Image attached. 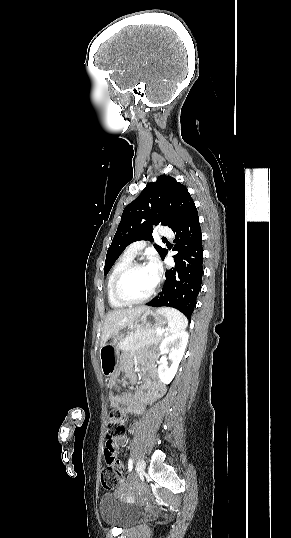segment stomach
I'll list each match as a JSON object with an SVG mask.
<instances>
[{
    "label": "stomach",
    "instance_id": "obj_1",
    "mask_svg": "<svg viewBox=\"0 0 291 538\" xmlns=\"http://www.w3.org/2000/svg\"><path fill=\"white\" fill-rule=\"evenodd\" d=\"M167 321L168 320L165 315L159 313L158 311L148 309L143 312L141 316L134 322V324L130 327V331L156 330L158 328H162ZM130 331L118 332L114 335L113 342L106 343L100 348L99 356L101 360V372L107 379L114 376L115 372L117 371L118 349L116 344Z\"/></svg>",
    "mask_w": 291,
    "mask_h": 538
}]
</instances>
